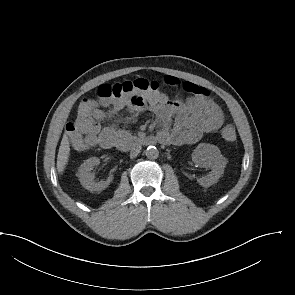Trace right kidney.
Returning a JSON list of instances; mask_svg holds the SVG:
<instances>
[{
  "instance_id": "ca27d5eb",
  "label": "right kidney",
  "mask_w": 295,
  "mask_h": 295,
  "mask_svg": "<svg viewBox=\"0 0 295 295\" xmlns=\"http://www.w3.org/2000/svg\"><path fill=\"white\" fill-rule=\"evenodd\" d=\"M100 164V159L97 157H92L84 161V163L79 168V181L81 185L93 192H101L105 188H107L113 180V176H109L106 181L95 182L94 173L92 172L95 166Z\"/></svg>"
}]
</instances>
